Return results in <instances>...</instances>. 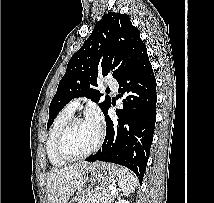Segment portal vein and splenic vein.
<instances>
[{"label":"portal vein and splenic vein","instance_id":"portal-vein-and-splenic-vein-1","mask_svg":"<svg viewBox=\"0 0 214 203\" xmlns=\"http://www.w3.org/2000/svg\"><path fill=\"white\" fill-rule=\"evenodd\" d=\"M111 193H112V195H115V193H116V189H111Z\"/></svg>","mask_w":214,"mask_h":203}]
</instances>
